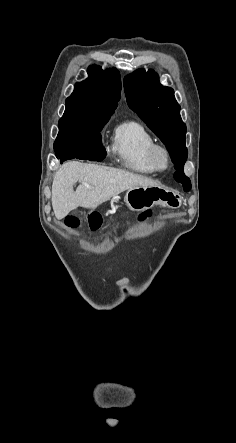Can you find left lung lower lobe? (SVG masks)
<instances>
[{"mask_svg": "<svg viewBox=\"0 0 236 443\" xmlns=\"http://www.w3.org/2000/svg\"><path fill=\"white\" fill-rule=\"evenodd\" d=\"M174 178L176 179V181H178V182L183 184L184 191L187 192V191H189L191 189L190 179L185 176L183 170H178L175 173Z\"/></svg>", "mask_w": 236, "mask_h": 443, "instance_id": "1", "label": "left lung lower lobe"}]
</instances>
